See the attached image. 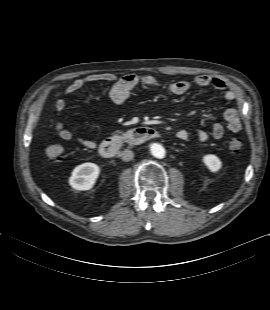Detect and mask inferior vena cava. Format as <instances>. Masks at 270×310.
<instances>
[{"instance_id":"602c4592","label":"inferior vena cava","mask_w":270,"mask_h":310,"mask_svg":"<svg viewBox=\"0 0 270 310\" xmlns=\"http://www.w3.org/2000/svg\"><path fill=\"white\" fill-rule=\"evenodd\" d=\"M133 157H134V154L131 150L126 149L121 152V158L123 161H126V162L130 161L133 159Z\"/></svg>"}]
</instances>
